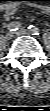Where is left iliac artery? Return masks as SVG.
Listing matches in <instances>:
<instances>
[{"instance_id":"44dca946","label":"left iliac artery","mask_w":50,"mask_h":111,"mask_svg":"<svg viewBox=\"0 0 50 111\" xmlns=\"http://www.w3.org/2000/svg\"><path fill=\"white\" fill-rule=\"evenodd\" d=\"M28 29L30 30V32H31L33 35H39V34H40V30H39L37 27L33 26V25H30V26L28 27Z\"/></svg>"}]
</instances>
